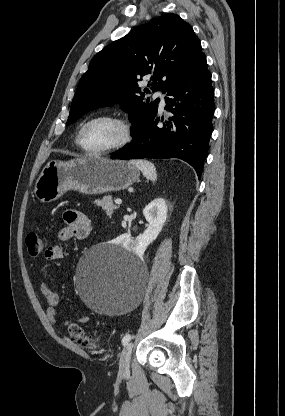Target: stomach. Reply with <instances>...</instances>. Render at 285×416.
<instances>
[{"label":"stomach","mask_w":285,"mask_h":416,"mask_svg":"<svg viewBox=\"0 0 285 416\" xmlns=\"http://www.w3.org/2000/svg\"><path fill=\"white\" fill-rule=\"evenodd\" d=\"M138 168L126 160L107 158H76L69 162L51 160L43 168L35 186L34 194L40 202H54L68 190L81 194H107L129 188L139 180Z\"/></svg>","instance_id":"1"}]
</instances>
